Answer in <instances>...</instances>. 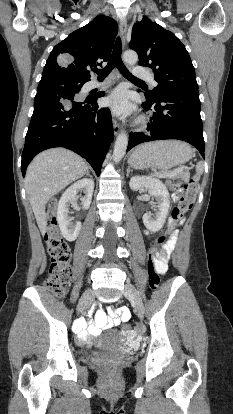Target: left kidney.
Masks as SVG:
<instances>
[{"label":"left kidney","mask_w":233,"mask_h":414,"mask_svg":"<svg viewBox=\"0 0 233 414\" xmlns=\"http://www.w3.org/2000/svg\"><path fill=\"white\" fill-rule=\"evenodd\" d=\"M129 186L133 191L146 188L152 198L156 199L155 218H152L151 213H145L143 223L148 230L152 232L159 231L165 223L170 207V195L166 186L159 179L150 176H133L130 179Z\"/></svg>","instance_id":"obj_1"}]
</instances>
